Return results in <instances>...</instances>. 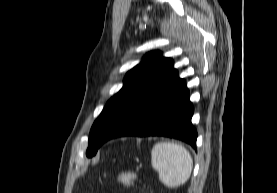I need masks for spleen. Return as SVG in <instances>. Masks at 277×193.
<instances>
[{
    "instance_id": "spleen-1",
    "label": "spleen",
    "mask_w": 277,
    "mask_h": 193,
    "mask_svg": "<svg viewBox=\"0 0 277 193\" xmlns=\"http://www.w3.org/2000/svg\"><path fill=\"white\" fill-rule=\"evenodd\" d=\"M151 164L166 187L176 188L189 179L193 168V159L184 146L171 142H160L155 144L152 149Z\"/></svg>"
}]
</instances>
